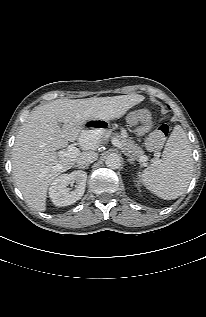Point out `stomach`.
<instances>
[{
	"label": "stomach",
	"instance_id": "stomach-1",
	"mask_svg": "<svg viewBox=\"0 0 206 317\" xmlns=\"http://www.w3.org/2000/svg\"><path fill=\"white\" fill-rule=\"evenodd\" d=\"M123 127L129 133H142L144 127H140L132 113L127 114L123 119ZM112 131L111 123L108 120H90L77 133V142L81 146L97 144L101 139L107 138Z\"/></svg>",
	"mask_w": 206,
	"mask_h": 317
}]
</instances>
